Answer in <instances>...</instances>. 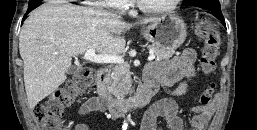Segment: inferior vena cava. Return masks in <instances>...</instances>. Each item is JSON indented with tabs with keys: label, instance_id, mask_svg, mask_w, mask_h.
<instances>
[{
	"label": "inferior vena cava",
	"instance_id": "inferior-vena-cava-1",
	"mask_svg": "<svg viewBox=\"0 0 257 130\" xmlns=\"http://www.w3.org/2000/svg\"><path fill=\"white\" fill-rule=\"evenodd\" d=\"M111 15L117 17V15H115V14H111Z\"/></svg>",
	"mask_w": 257,
	"mask_h": 130
}]
</instances>
